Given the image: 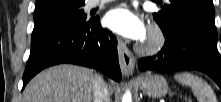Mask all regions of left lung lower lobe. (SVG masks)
Returning <instances> with one entry per match:
<instances>
[{
	"label": "left lung lower lobe",
	"mask_w": 221,
	"mask_h": 102,
	"mask_svg": "<svg viewBox=\"0 0 221 102\" xmlns=\"http://www.w3.org/2000/svg\"><path fill=\"white\" fill-rule=\"evenodd\" d=\"M164 37V47L156 56L139 61L141 71L199 70L221 87V60L215 44L217 36L192 24H183Z\"/></svg>",
	"instance_id": "left-lung-lower-lobe-1"
}]
</instances>
